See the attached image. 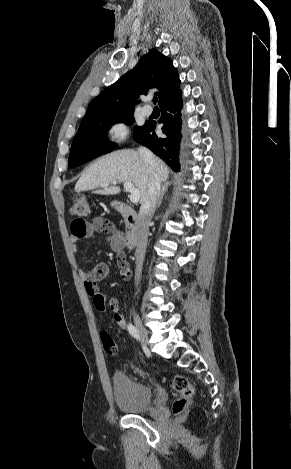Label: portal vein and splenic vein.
Returning <instances> with one entry per match:
<instances>
[{"label": "portal vein and splenic vein", "instance_id": "obj_1", "mask_svg": "<svg viewBox=\"0 0 291 469\" xmlns=\"http://www.w3.org/2000/svg\"><path fill=\"white\" fill-rule=\"evenodd\" d=\"M111 183L113 184H116L117 182L116 181H112ZM109 185V182L107 183H104L102 186L103 187H106ZM124 188L126 189V191H128L130 193V201L132 203H137L140 199V192L138 189H136L133 184L131 182H124Z\"/></svg>", "mask_w": 291, "mask_h": 469}]
</instances>
